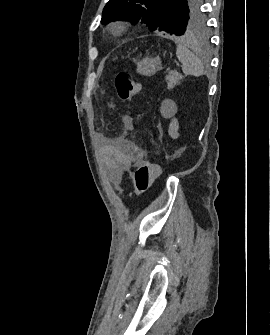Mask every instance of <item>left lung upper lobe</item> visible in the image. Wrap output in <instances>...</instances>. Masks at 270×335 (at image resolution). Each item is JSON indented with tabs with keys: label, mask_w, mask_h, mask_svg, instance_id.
Segmentation results:
<instances>
[{
	"label": "left lung upper lobe",
	"mask_w": 270,
	"mask_h": 335,
	"mask_svg": "<svg viewBox=\"0 0 270 335\" xmlns=\"http://www.w3.org/2000/svg\"><path fill=\"white\" fill-rule=\"evenodd\" d=\"M115 20L140 21L152 31L176 36L205 29L199 0H110L103 9L101 23Z\"/></svg>",
	"instance_id": "left-lung-upper-lobe-1"
}]
</instances>
